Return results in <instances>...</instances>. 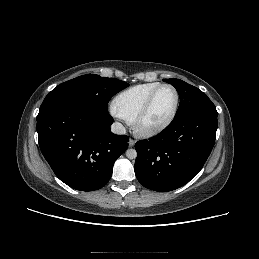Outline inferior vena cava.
<instances>
[{"mask_svg":"<svg viewBox=\"0 0 259 259\" xmlns=\"http://www.w3.org/2000/svg\"><path fill=\"white\" fill-rule=\"evenodd\" d=\"M111 131L114 133V134H118V135H123L126 133V129L125 127L119 123V122H114L112 125H111Z\"/></svg>","mask_w":259,"mask_h":259,"instance_id":"602c4592","label":"inferior vena cava"}]
</instances>
